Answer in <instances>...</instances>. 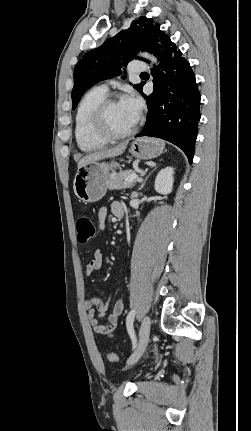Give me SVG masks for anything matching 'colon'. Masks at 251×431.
<instances>
[{
    "label": "colon",
    "instance_id": "1",
    "mask_svg": "<svg viewBox=\"0 0 251 431\" xmlns=\"http://www.w3.org/2000/svg\"><path fill=\"white\" fill-rule=\"evenodd\" d=\"M77 240L80 245L90 243L95 237V226L92 219L88 215H80L76 221ZM110 362H118L120 357L115 353L108 354Z\"/></svg>",
    "mask_w": 251,
    "mask_h": 431
}]
</instances>
